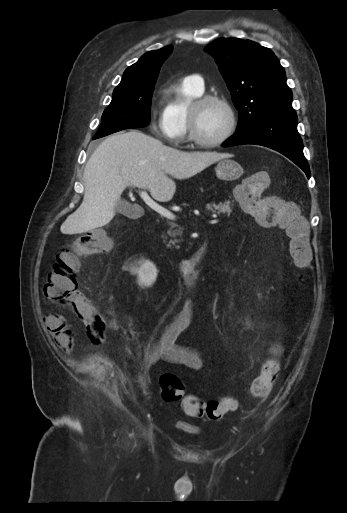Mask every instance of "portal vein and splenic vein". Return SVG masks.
Masks as SVG:
<instances>
[{"label":"portal vein and splenic vein","instance_id":"obj_1","mask_svg":"<svg viewBox=\"0 0 347 513\" xmlns=\"http://www.w3.org/2000/svg\"><path fill=\"white\" fill-rule=\"evenodd\" d=\"M139 188H141V186H137ZM139 195L140 197L143 199V201L151 208L153 209L154 211H156L157 213H159L161 216H164L165 218L169 219V220H175L176 216L174 213H172L171 211H169L168 209L166 208H163L162 206H160L158 203H156L148 194L145 190H142L139 192ZM218 219L214 218L213 220L209 221L210 224H215V223H218Z\"/></svg>","mask_w":347,"mask_h":513}]
</instances>
